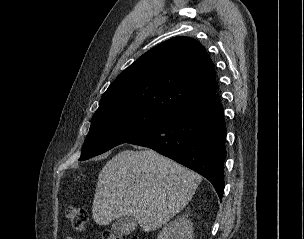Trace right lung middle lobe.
Listing matches in <instances>:
<instances>
[{
    "mask_svg": "<svg viewBox=\"0 0 304 239\" xmlns=\"http://www.w3.org/2000/svg\"><path fill=\"white\" fill-rule=\"evenodd\" d=\"M170 117L147 108H122L97 114L92 118L79 160H87L127 143Z\"/></svg>",
    "mask_w": 304,
    "mask_h": 239,
    "instance_id": "dd1d6c3e",
    "label": "right lung middle lobe"
}]
</instances>
